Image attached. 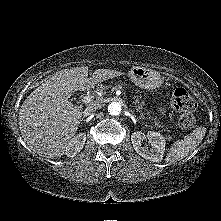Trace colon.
Segmentation results:
<instances>
[{
    "label": "colon",
    "mask_w": 221,
    "mask_h": 221,
    "mask_svg": "<svg viewBox=\"0 0 221 221\" xmlns=\"http://www.w3.org/2000/svg\"><path fill=\"white\" fill-rule=\"evenodd\" d=\"M173 104L176 109L182 112L180 126L184 129H191L195 126L193 112L196 108L194 99L184 88H177L173 94Z\"/></svg>",
    "instance_id": "5ec220e1"
}]
</instances>
